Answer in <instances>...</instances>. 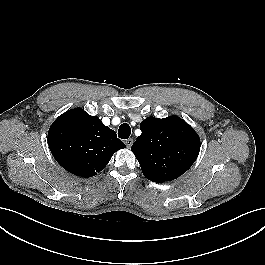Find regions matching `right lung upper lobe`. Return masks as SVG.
Masks as SVG:
<instances>
[{"instance_id": "right-lung-upper-lobe-1", "label": "right lung upper lobe", "mask_w": 265, "mask_h": 265, "mask_svg": "<svg viewBox=\"0 0 265 265\" xmlns=\"http://www.w3.org/2000/svg\"><path fill=\"white\" fill-rule=\"evenodd\" d=\"M48 143L56 161L68 172L81 177L96 175L114 152L125 148L115 131L81 108L71 109L53 122Z\"/></svg>"}]
</instances>
